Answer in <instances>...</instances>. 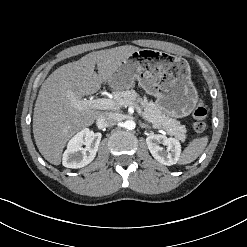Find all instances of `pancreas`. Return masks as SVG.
I'll use <instances>...</instances> for the list:
<instances>
[{
	"label": "pancreas",
	"instance_id": "1",
	"mask_svg": "<svg viewBox=\"0 0 247 247\" xmlns=\"http://www.w3.org/2000/svg\"><path fill=\"white\" fill-rule=\"evenodd\" d=\"M113 98L116 102H132L140 105L143 109L142 117L155 128L165 130L169 135L184 141L186 136L185 126H181L176 120L169 118L161 112L159 106L146 97L140 98L135 90H117L113 92ZM124 106V105H122Z\"/></svg>",
	"mask_w": 247,
	"mask_h": 247
}]
</instances>
